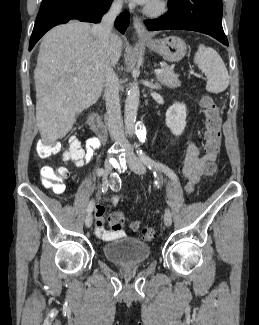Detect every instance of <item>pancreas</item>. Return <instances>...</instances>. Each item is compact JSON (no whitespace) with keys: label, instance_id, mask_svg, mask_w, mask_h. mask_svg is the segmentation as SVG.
Segmentation results:
<instances>
[{"label":"pancreas","instance_id":"obj_1","mask_svg":"<svg viewBox=\"0 0 259 325\" xmlns=\"http://www.w3.org/2000/svg\"><path fill=\"white\" fill-rule=\"evenodd\" d=\"M163 72L160 74H156V78L161 84L169 88H177L180 87L181 82L178 79V75L173 72L171 68L168 66L162 67Z\"/></svg>","mask_w":259,"mask_h":325}]
</instances>
